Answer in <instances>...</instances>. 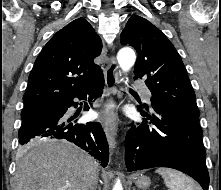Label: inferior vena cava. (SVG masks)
<instances>
[{
    "label": "inferior vena cava",
    "mask_w": 221,
    "mask_h": 190,
    "mask_svg": "<svg viewBox=\"0 0 221 190\" xmlns=\"http://www.w3.org/2000/svg\"><path fill=\"white\" fill-rule=\"evenodd\" d=\"M97 170L98 169H95L92 173V177H91V180H90L89 185H88V190H96V187H97Z\"/></svg>",
    "instance_id": "1"
}]
</instances>
